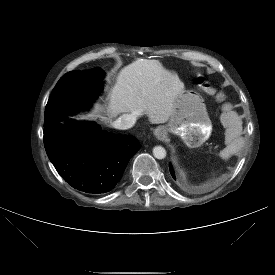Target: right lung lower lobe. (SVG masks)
<instances>
[{
  "label": "right lung lower lobe",
  "mask_w": 275,
  "mask_h": 275,
  "mask_svg": "<svg viewBox=\"0 0 275 275\" xmlns=\"http://www.w3.org/2000/svg\"><path fill=\"white\" fill-rule=\"evenodd\" d=\"M65 120L66 125L59 121L44 124L45 150L57 172L73 188L86 193L112 190L140 149L139 141L101 130L95 123Z\"/></svg>",
  "instance_id": "98d812e1"
}]
</instances>
